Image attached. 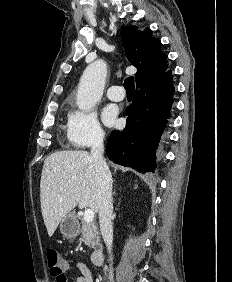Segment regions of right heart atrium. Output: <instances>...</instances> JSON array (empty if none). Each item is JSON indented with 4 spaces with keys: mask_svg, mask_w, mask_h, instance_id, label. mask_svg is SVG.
<instances>
[{
    "mask_svg": "<svg viewBox=\"0 0 232 282\" xmlns=\"http://www.w3.org/2000/svg\"><path fill=\"white\" fill-rule=\"evenodd\" d=\"M67 138L75 148H87L100 143L104 131L97 114L91 110L74 109L68 116Z\"/></svg>",
    "mask_w": 232,
    "mask_h": 282,
    "instance_id": "1",
    "label": "right heart atrium"
}]
</instances>
